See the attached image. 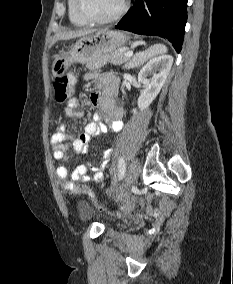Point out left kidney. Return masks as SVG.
I'll return each mask as SVG.
<instances>
[{
  "mask_svg": "<svg viewBox=\"0 0 233 284\" xmlns=\"http://www.w3.org/2000/svg\"><path fill=\"white\" fill-rule=\"evenodd\" d=\"M172 64L173 57L165 54L150 59L140 70L138 82L145 87L138 98V108L141 111L146 109L159 94L169 75ZM132 112L136 114L137 111L133 109Z\"/></svg>",
  "mask_w": 233,
  "mask_h": 284,
  "instance_id": "5707ae66",
  "label": "left kidney"
}]
</instances>
